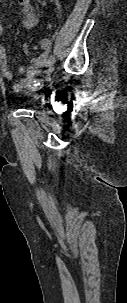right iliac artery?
<instances>
[{
    "instance_id": "82829eb1",
    "label": "right iliac artery",
    "mask_w": 127,
    "mask_h": 303,
    "mask_svg": "<svg viewBox=\"0 0 127 303\" xmlns=\"http://www.w3.org/2000/svg\"><path fill=\"white\" fill-rule=\"evenodd\" d=\"M53 63H54V57L51 56V57L48 59V61L46 62V67L52 66Z\"/></svg>"
}]
</instances>
